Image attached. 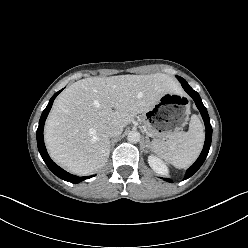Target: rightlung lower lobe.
<instances>
[{
    "label": "right lung lower lobe",
    "instance_id": "right-lung-lower-lobe-1",
    "mask_svg": "<svg viewBox=\"0 0 248 248\" xmlns=\"http://www.w3.org/2000/svg\"><path fill=\"white\" fill-rule=\"evenodd\" d=\"M62 90H60L59 92L55 93L52 98L50 99L47 107L44 109L42 115H41V118L39 120V126H38V129H37V134H36V137H37V145H38V150L40 152V155L42 157V159L44 160V162L46 163V165L48 166V168L56 175L58 176L59 178L65 180V181H68V182H71V183H79L85 179H88L90 178L91 176L89 177H77V176H74L68 172H66L65 170H63L62 168H60L58 165H56L49 157L48 153H47V150L45 148V145H44V139H43V127H44V124H45V120L47 118V115L52 107V104H53V101L54 99L56 98V96L61 92Z\"/></svg>",
    "mask_w": 248,
    "mask_h": 248
}]
</instances>
